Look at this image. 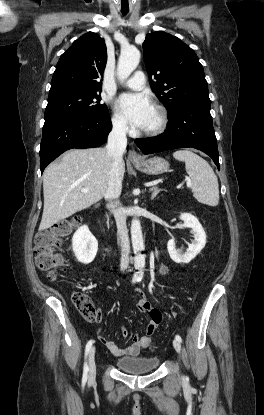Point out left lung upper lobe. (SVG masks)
Returning a JSON list of instances; mask_svg holds the SVG:
<instances>
[{"mask_svg": "<svg viewBox=\"0 0 264 415\" xmlns=\"http://www.w3.org/2000/svg\"><path fill=\"white\" fill-rule=\"evenodd\" d=\"M152 90L172 115L189 103H210L204 70L195 52L164 31L148 34L143 43Z\"/></svg>", "mask_w": 264, "mask_h": 415, "instance_id": "5c2ea615", "label": "left lung upper lobe"}]
</instances>
